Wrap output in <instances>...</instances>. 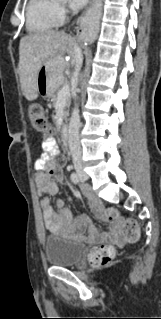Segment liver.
<instances>
[{"label":"liver","mask_w":161,"mask_h":319,"mask_svg":"<svg viewBox=\"0 0 161 319\" xmlns=\"http://www.w3.org/2000/svg\"><path fill=\"white\" fill-rule=\"evenodd\" d=\"M72 37L61 31H45L23 37L19 44V76L23 95L28 101L38 96V72L44 63L57 57L63 69L68 66L64 54H75Z\"/></svg>","instance_id":"6515ba94"}]
</instances>
